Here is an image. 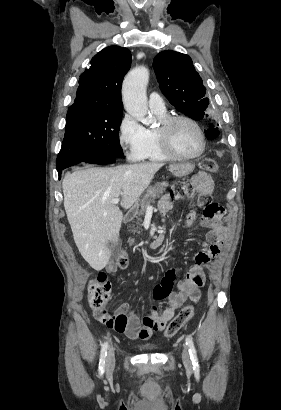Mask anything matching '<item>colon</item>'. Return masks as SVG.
Listing matches in <instances>:
<instances>
[{"mask_svg":"<svg viewBox=\"0 0 281 410\" xmlns=\"http://www.w3.org/2000/svg\"><path fill=\"white\" fill-rule=\"evenodd\" d=\"M202 170L206 172H216L218 170V164L212 159H204L200 163ZM192 191V187L189 184H183L177 189L171 191L170 197L172 200L179 199L182 195L189 194ZM199 204L204 209L205 216L215 217L222 216L224 209L219 204L213 202L210 195H201L199 198ZM116 264L120 268H126L129 264V256L127 252L121 251L118 254ZM88 296L91 308L95 312V315L99 321L106 324L110 328L115 330H122L127 326V318L122 315H113L107 312L106 306L111 295V284L107 280L105 273H100L92 279L88 284ZM193 305L185 306L180 313L172 319L169 323L165 335L172 337L178 333L187 321L193 316Z\"/></svg>","mask_w":281,"mask_h":410,"instance_id":"1","label":"colon"}]
</instances>
